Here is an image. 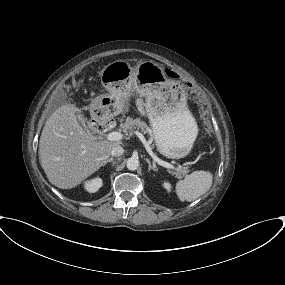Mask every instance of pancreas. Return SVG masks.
<instances>
[{
    "label": "pancreas",
    "mask_w": 285,
    "mask_h": 285,
    "mask_svg": "<svg viewBox=\"0 0 285 285\" xmlns=\"http://www.w3.org/2000/svg\"><path fill=\"white\" fill-rule=\"evenodd\" d=\"M140 129L143 133H149L151 135V129L144 121H140V119H133L131 117H126L125 119H121L120 129L127 133L132 131L133 129ZM188 172V167H179L176 169V174L178 177H182L183 174Z\"/></svg>",
    "instance_id": "1"
}]
</instances>
